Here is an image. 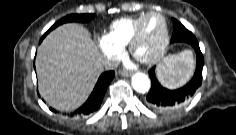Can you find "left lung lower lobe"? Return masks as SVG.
<instances>
[{"mask_svg": "<svg viewBox=\"0 0 236 135\" xmlns=\"http://www.w3.org/2000/svg\"><path fill=\"white\" fill-rule=\"evenodd\" d=\"M172 21L174 32L171 42H183L190 44L195 49L197 54V65L192 79L185 86L177 90H168L161 86L155 76V67L149 71L152 85L146 97L147 104L151 108L161 112H169L182 106L193 97L202 83L204 58L200 51L197 39L178 20L173 18Z\"/></svg>", "mask_w": 236, "mask_h": 135, "instance_id": "1", "label": "left lung lower lobe"}]
</instances>
